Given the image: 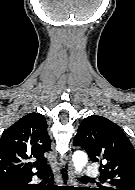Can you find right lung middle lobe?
<instances>
[{"mask_svg": "<svg viewBox=\"0 0 135 190\" xmlns=\"http://www.w3.org/2000/svg\"><path fill=\"white\" fill-rule=\"evenodd\" d=\"M9 182H11L12 184H7V185H17V183L15 182V181H13V180H10Z\"/></svg>", "mask_w": 135, "mask_h": 190, "instance_id": "right-lung-middle-lobe-1", "label": "right lung middle lobe"}]
</instances>
